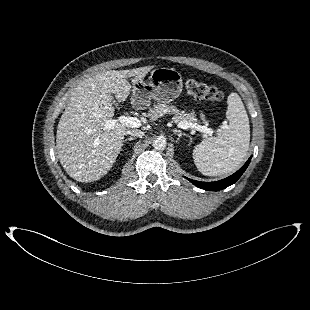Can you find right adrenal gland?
I'll list each match as a JSON object with an SVG mask.
<instances>
[{
    "mask_svg": "<svg viewBox=\"0 0 310 310\" xmlns=\"http://www.w3.org/2000/svg\"><path fill=\"white\" fill-rule=\"evenodd\" d=\"M135 138H133V137H129V138H127V139H125L124 140V143H126L127 141H130V140H134Z\"/></svg>",
    "mask_w": 310,
    "mask_h": 310,
    "instance_id": "1",
    "label": "right adrenal gland"
}]
</instances>
